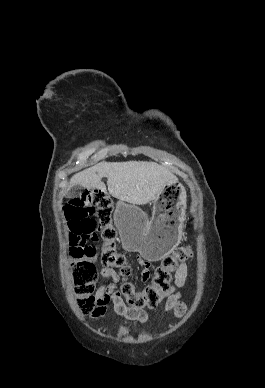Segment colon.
I'll use <instances>...</instances> for the list:
<instances>
[{"mask_svg":"<svg viewBox=\"0 0 265 388\" xmlns=\"http://www.w3.org/2000/svg\"><path fill=\"white\" fill-rule=\"evenodd\" d=\"M112 210V201L102 190L84 192L63 206L70 229L69 250L74 259L72 268L77 306L81 313L92 318L101 316L93 294L97 279L93 260L98 255L104 267L119 271L118 292L134 309L156 306L161 295L168 290L179 263L192 256L189 247L177 248L155 268L151 281L142 290H136L134 283L128 280L131 272L128 260L116 248L117 232L112 224ZM98 233L101 238L99 248L88 244L90 240H98Z\"/></svg>","mask_w":265,"mask_h":388,"instance_id":"obj_1","label":"colon"}]
</instances>
